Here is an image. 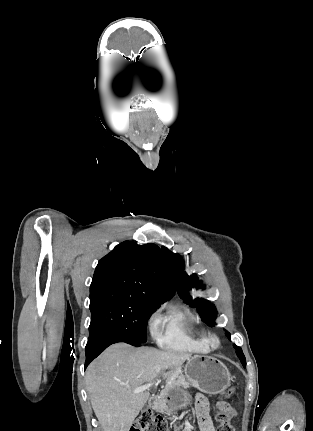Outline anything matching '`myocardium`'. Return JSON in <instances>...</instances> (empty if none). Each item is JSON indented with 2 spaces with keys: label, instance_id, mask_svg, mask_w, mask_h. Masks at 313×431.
Instances as JSON below:
<instances>
[{
  "label": "myocardium",
  "instance_id": "1",
  "mask_svg": "<svg viewBox=\"0 0 313 431\" xmlns=\"http://www.w3.org/2000/svg\"><path fill=\"white\" fill-rule=\"evenodd\" d=\"M207 342L210 347L217 348L220 345V338L217 334L212 333L208 335Z\"/></svg>",
  "mask_w": 313,
  "mask_h": 431
}]
</instances>
